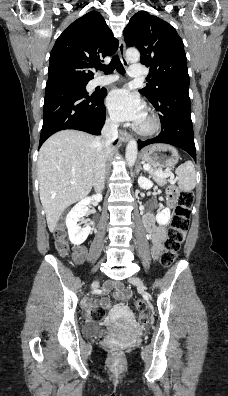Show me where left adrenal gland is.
Wrapping results in <instances>:
<instances>
[{
  "label": "left adrenal gland",
  "instance_id": "1",
  "mask_svg": "<svg viewBox=\"0 0 228 396\" xmlns=\"http://www.w3.org/2000/svg\"><path fill=\"white\" fill-rule=\"evenodd\" d=\"M140 170H143V168L141 167V165H139V166L137 167V172H139Z\"/></svg>",
  "mask_w": 228,
  "mask_h": 396
}]
</instances>
